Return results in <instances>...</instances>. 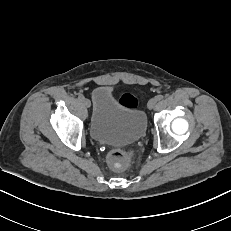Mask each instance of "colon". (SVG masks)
Returning <instances> with one entry per match:
<instances>
[{
    "instance_id": "1",
    "label": "colon",
    "mask_w": 231,
    "mask_h": 231,
    "mask_svg": "<svg viewBox=\"0 0 231 231\" xmlns=\"http://www.w3.org/2000/svg\"><path fill=\"white\" fill-rule=\"evenodd\" d=\"M120 102L128 106H137L138 99L131 93H124L119 98ZM129 154L121 149L112 150L107 156L109 166L114 170H124L129 165Z\"/></svg>"
}]
</instances>
